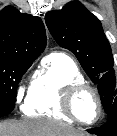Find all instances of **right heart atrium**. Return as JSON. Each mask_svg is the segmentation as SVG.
<instances>
[{
	"label": "right heart atrium",
	"instance_id": "1",
	"mask_svg": "<svg viewBox=\"0 0 117 136\" xmlns=\"http://www.w3.org/2000/svg\"><path fill=\"white\" fill-rule=\"evenodd\" d=\"M25 87L23 84H20L17 87L16 94H15V100L17 103H20L24 96Z\"/></svg>",
	"mask_w": 117,
	"mask_h": 136
}]
</instances>
